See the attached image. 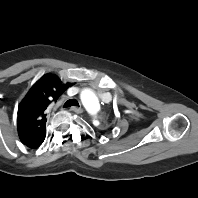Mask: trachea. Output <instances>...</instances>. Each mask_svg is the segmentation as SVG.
Listing matches in <instances>:
<instances>
[{
  "mask_svg": "<svg viewBox=\"0 0 198 198\" xmlns=\"http://www.w3.org/2000/svg\"><path fill=\"white\" fill-rule=\"evenodd\" d=\"M71 106H79V103L77 100L75 99H70V100H67L66 103L64 104V107H71Z\"/></svg>",
  "mask_w": 198,
  "mask_h": 198,
  "instance_id": "trachea-1",
  "label": "trachea"
}]
</instances>
